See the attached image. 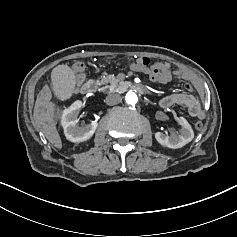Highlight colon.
Here are the masks:
<instances>
[{
    "label": "colon",
    "instance_id": "1",
    "mask_svg": "<svg viewBox=\"0 0 237 237\" xmlns=\"http://www.w3.org/2000/svg\"><path fill=\"white\" fill-rule=\"evenodd\" d=\"M137 63L144 68L146 71V75L149 79L153 82H165V78L162 75V72L157 64H153L151 59L148 57H142L138 59ZM73 71L78 75L81 76L84 74L86 66L82 61H76L72 65ZM195 128L197 130H202L204 128V124L202 121H197L195 123Z\"/></svg>",
    "mask_w": 237,
    "mask_h": 237
}]
</instances>
